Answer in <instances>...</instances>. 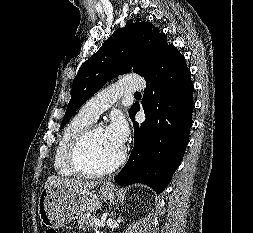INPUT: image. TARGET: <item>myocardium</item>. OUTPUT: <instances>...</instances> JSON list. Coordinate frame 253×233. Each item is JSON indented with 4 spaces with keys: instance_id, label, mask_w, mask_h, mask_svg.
Returning a JSON list of instances; mask_svg holds the SVG:
<instances>
[{
    "instance_id": "obj_1",
    "label": "myocardium",
    "mask_w": 253,
    "mask_h": 233,
    "mask_svg": "<svg viewBox=\"0 0 253 233\" xmlns=\"http://www.w3.org/2000/svg\"><path fill=\"white\" fill-rule=\"evenodd\" d=\"M96 127L97 125L94 124L88 126L87 129L77 137L71 146L68 156V163L77 175L85 177H98L107 175L118 169L126 159V150L122 149L118 158L106 167L100 169H89L83 165L82 153L86 148Z\"/></svg>"
}]
</instances>
